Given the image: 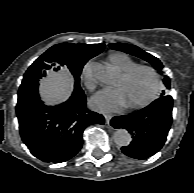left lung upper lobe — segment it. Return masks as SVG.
<instances>
[{"mask_svg":"<svg viewBox=\"0 0 194 193\" xmlns=\"http://www.w3.org/2000/svg\"><path fill=\"white\" fill-rule=\"evenodd\" d=\"M109 46L112 49L121 50L123 52L137 56L143 60L150 62L156 70H158V71H160V73H162L163 65H162L161 61L158 58L152 56L151 54L143 51L139 47L131 45V44H125V43L109 44ZM164 84L168 89L170 88V81H169L168 77L164 78ZM165 95H166V93L163 91L162 96H165Z\"/></svg>","mask_w":194,"mask_h":193,"instance_id":"left-lung-upper-lobe-1","label":"left lung upper lobe"}]
</instances>
